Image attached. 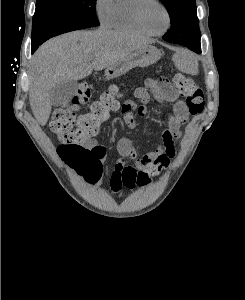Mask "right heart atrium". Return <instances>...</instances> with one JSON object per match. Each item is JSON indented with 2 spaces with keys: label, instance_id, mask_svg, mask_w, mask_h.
<instances>
[{
  "label": "right heart atrium",
  "instance_id": "d8ad5b80",
  "mask_svg": "<svg viewBox=\"0 0 245 300\" xmlns=\"http://www.w3.org/2000/svg\"><path fill=\"white\" fill-rule=\"evenodd\" d=\"M113 0H95L94 11L101 24L107 25L110 20Z\"/></svg>",
  "mask_w": 245,
  "mask_h": 300
}]
</instances>
